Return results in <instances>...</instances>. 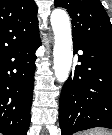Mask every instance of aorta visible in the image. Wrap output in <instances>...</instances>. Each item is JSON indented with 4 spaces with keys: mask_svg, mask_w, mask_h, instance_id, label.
Returning a JSON list of instances; mask_svg holds the SVG:
<instances>
[{
    "mask_svg": "<svg viewBox=\"0 0 112 135\" xmlns=\"http://www.w3.org/2000/svg\"><path fill=\"white\" fill-rule=\"evenodd\" d=\"M50 20L54 32L53 69L58 82L64 83L69 77L73 57L70 18L65 10L55 9Z\"/></svg>",
    "mask_w": 112,
    "mask_h": 135,
    "instance_id": "obj_1",
    "label": "aorta"
}]
</instances>
